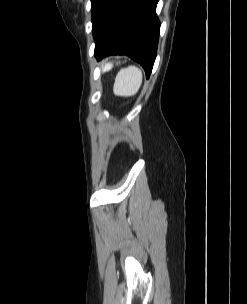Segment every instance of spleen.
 <instances>
[{"instance_id": "1", "label": "spleen", "mask_w": 247, "mask_h": 304, "mask_svg": "<svg viewBox=\"0 0 247 304\" xmlns=\"http://www.w3.org/2000/svg\"><path fill=\"white\" fill-rule=\"evenodd\" d=\"M112 64L108 63L105 67H111ZM142 84V72L136 66H128L121 69L115 79L113 92L117 96H133L140 89Z\"/></svg>"}]
</instances>
